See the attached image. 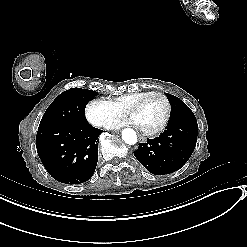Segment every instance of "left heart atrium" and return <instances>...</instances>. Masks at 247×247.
Wrapping results in <instances>:
<instances>
[{"instance_id": "obj_1", "label": "left heart atrium", "mask_w": 247, "mask_h": 247, "mask_svg": "<svg viewBox=\"0 0 247 247\" xmlns=\"http://www.w3.org/2000/svg\"><path fill=\"white\" fill-rule=\"evenodd\" d=\"M126 123H134V120L133 119L121 120V121L118 122V124L116 126L124 125Z\"/></svg>"}]
</instances>
